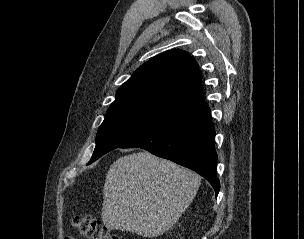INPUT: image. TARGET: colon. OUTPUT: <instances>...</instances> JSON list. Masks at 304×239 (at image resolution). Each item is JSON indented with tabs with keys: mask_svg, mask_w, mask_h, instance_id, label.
Listing matches in <instances>:
<instances>
[{
	"mask_svg": "<svg viewBox=\"0 0 304 239\" xmlns=\"http://www.w3.org/2000/svg\"><path fill=\"white\" fill-rule=\"evenodd\" d=\"M71 223L79 234L87 239H120L107 229L102 222L89 215H75Z\"/></svg>",
	"mask_w": 304,
	"mask_h": 239,
	"instance_id": "5ec220e1",
	"label": "colon"
}]
</instances>
